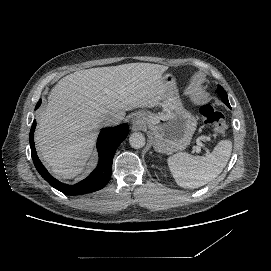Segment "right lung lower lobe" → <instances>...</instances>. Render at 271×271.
Wrapping results in <instances>:
<instances>
[{
  "label": "right lung lower lobe",
  "instance_id": "98d812e1",
  "mask_svg": "<svg viewBox=\"0 0 271 271\" xmlns=\"http://www.w3.org/2000/svg\"><path fill=\"white\" fill-rule=\"evenodd\" d=\"M41 100L36 105L40 106ZM36 121L34 120L30 131L31 156L34 165L40 175L55 189L67 195H80L95 192L102 189L109 181L112 173V161L118 146L127 137L129 127L127 124L119 125L112 128H104L98 137L97 148L99 151V163L96 169L83 181L74 186L65 185L53 178L40 162L34 145V131Z\"/></svg>",
  "mask_w": 271,
  "mask_h": 271
}]
</instances>
